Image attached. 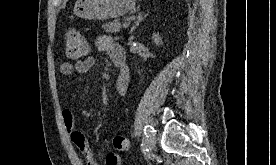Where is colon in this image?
<instances>
[{"label":"colon","mask_w":276,"mask_h":165,"mask_svg":"<svg viewBox=\"0 0 276 165\" xmlns=\"http://www.w3.org/2000/svg\"><path fill=\"white\" fill-rule=\"evenodd\" d=\"M64 44L66 57L70 60H78L88 50L86 40L74 29L68 30L65 33ZM112 144L116 151H126L129 148V140L124 136L114 137Z\"/></svg>","instance_id":"1"}]
</instances>
